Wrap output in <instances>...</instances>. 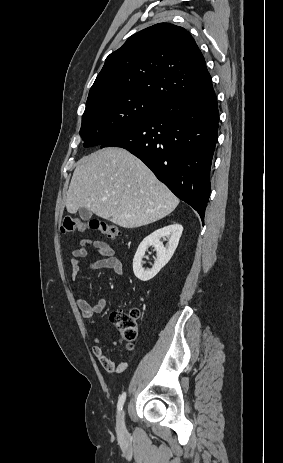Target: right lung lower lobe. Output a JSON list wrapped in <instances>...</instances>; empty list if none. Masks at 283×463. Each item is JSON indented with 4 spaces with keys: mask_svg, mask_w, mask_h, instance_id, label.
Masks as SVG:
<instances>
[{
    "mask_svg": "<svg viewBox=\"0 0 283 463\" xmlns=\"http://www.w3.org/2000/svg\"><path fill=\"white\" fill-rule=\"evenodd\" d=\"M219 112L213 87L162 102L145 120L101 144L141 159L204 220Z\"/></svg>",
    "mask_w": 283,
    "mask_h": 463,
    "instance_id": "98d812e1",
    "label": "right lung lower lobe"
}]
</instances>
